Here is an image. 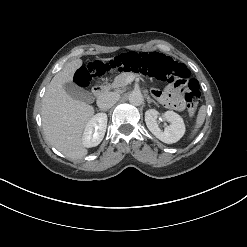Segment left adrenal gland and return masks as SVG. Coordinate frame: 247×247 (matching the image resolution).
<instances>
[{
    "instance_id": "1",
    "label": "left adrenal gland",
    "mask_w": 247,
    "mask_h": 247,
    "mask_svg": "<svg viewBox=\"0 0 247 247\" xmlns=\"http://www.w3.org/2000/svg\"><path fill=\"white\" fill-rule=\"evenodd\" d=\"M147 102L154 103L155 105H157V103L153 99H151L149 96H147Z\"/></svg>"
}]
</instances>
